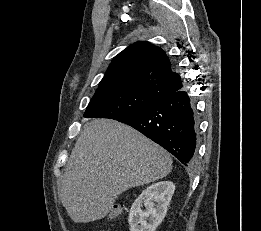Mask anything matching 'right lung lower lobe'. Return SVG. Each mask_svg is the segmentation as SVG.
<instances>
[{
    "mask_svg": "<svg viewBox=\"0 0 261 231\" xmlns=\"http://www.w3.org/2000/svg\"><path fill=\"white\" fill-rule=\"evenodd\" d=\"M117 121L140 131L185 166L194 163L198 119L195 102L186 91L180 89L166 95Z\"/></svg>",
    "mask_w": 261,
    "mask_h": 231,
    "instance_id": "right-lung-lower-lobe-1",
    "label": "right lung lower lobe"
}]
</instances>
